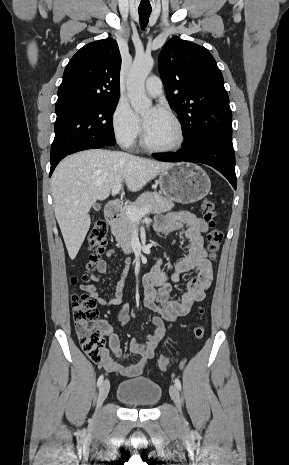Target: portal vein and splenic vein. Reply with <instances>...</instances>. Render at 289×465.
<instances>
[{
	"instance_id": "1",
	"label": "portal vein and splenic vein",
	"mask_w": 289,
	"mask_h": 465,
	"mask_svg": "<svg viewBox=\"0 0 289 465\" xmlns=\"http://www.w3.org/2000/svg\"><path fill=\"white\" fill-rule=\"evenodd\" d=\"M120 190H121V184L115 185L112 189V195L115 196L116 194L120 192ZM125 211L131 220L139 221L145 214L149 213L150 209L143 208V209L138 210L137 208L127 206L125 208Z\"/></svg>"
}]
</instances>
